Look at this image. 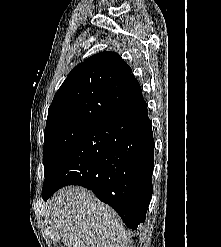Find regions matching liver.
<instances>
[{
  "label": "liver",
  "instance_id": "6515ba94",
  "mask_svg": "<svg viewBox=\"0 0 221 247\" xmlns=\"http://www.w3.org/2000/svg\"><path fill=\"white\" fill-rule=\"evenodd\" d=\"M44 211L67 247H132L131 233L116 212L82 187L61 189Z\"/></svg>",
  "mask_w": 221,
  "mask_h": 247
}]
</instances>
